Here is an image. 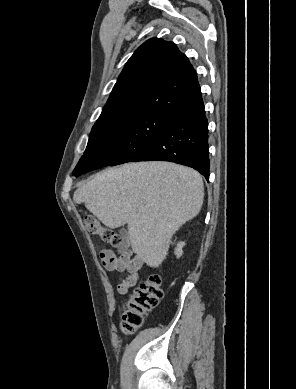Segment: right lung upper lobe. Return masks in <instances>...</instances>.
<instances>
[{"mask_svg":"<svg viewBox=\"0 0 296 389\" xmlns=\"http://www.w3.org/2000/svg\"><path fill=\"white\" fill-rule=\"evenodd\" d=\"M202 105L188 58L174 43L152 38L125 64L99 118L157 113L175 119Z\"/></svg>","mask_w":296,"mask_h":389,"instance_id":"1","label":"right lung upper lobe"}]
</instances>
